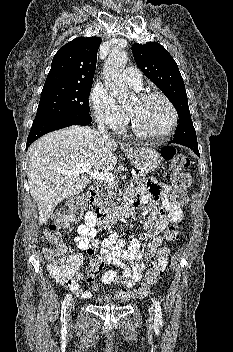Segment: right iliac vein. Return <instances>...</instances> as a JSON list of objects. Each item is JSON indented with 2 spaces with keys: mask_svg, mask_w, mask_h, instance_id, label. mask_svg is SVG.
Listing matches in <instances>:
<instances>
[{
  "mask_svg": "<svg viewBox=\"0 0 233 352\" xmlns=\"http://www.w3.org/2000/svg\"><path fill=\"white\" fill-rule=\"evenodd\" d=\"M75 307V301L74 300H70L68 306H67V316H68V319H70V315L73 311Z\"/></svg>",
  "mask_w": 233,
  "mask_h": 352,
  "instance_id": "obj_1",
  "label": "right iliac vein"
}]
</instances>
